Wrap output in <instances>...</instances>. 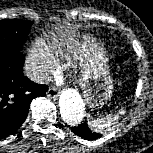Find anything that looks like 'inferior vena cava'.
Returning a JSON list of instances; mask_svg holds the SVG:
<instances>
[{"label":"inferior vena cava","mask_w":153,"mask_h":153,"mask_svg":"<svg viewBox=\"0 0 153 153\" xmlns=\"http://www.w3.org/2000/svg\"><path fill=\"white\" fill-rule=\"evenodd\" d=\"M26 76L35 83L43 84L48 83L50 77L47 73L43 70L33 67H26L25 68Z\"/></svg>","instance_id":"602c4592"}]
</instances>
